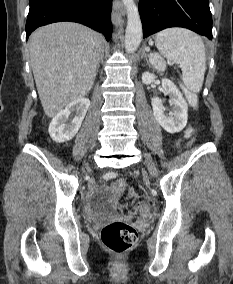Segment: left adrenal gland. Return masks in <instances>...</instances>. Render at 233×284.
I'll return each instance as SVG.
<instances>
[{"label": "left adrenal gland", "mask_w": 233, "mask_h": 284, "mask_svg": "<svg viewBox=\"0 0 233 284\" xmlns=\"http://www.w3.org/2000/svg\"><path fill=\"white\" fill-rule=\"evenodd\" d=\"M143 57L147 60V63H148V56H147V54L145 53V50H143V52H142V58H143Z\"/></svg>", "instance_id": "left-adrenal-gland-1"}]
</instances>
